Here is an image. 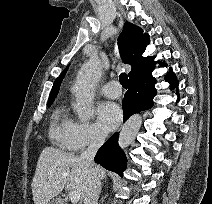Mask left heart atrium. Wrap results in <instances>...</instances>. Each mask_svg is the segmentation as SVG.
<instances>
[{"label": "left heart atrium", "mask_w": 212, "mask_h": 204, "mask_svg": "<svg viewBox=\"0 0 212 204\" xmlns=\"http://www.w3.org/2000/svg\"><path fill=\"white\" fill-rule=\"evenodd\" d=\"M123 114L120 106L114 102H103L98 107V118L101 126L111 131L118 127Z\"/></svg>", "instance_id": "39dd6f15"}]
</instances>
